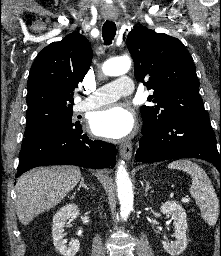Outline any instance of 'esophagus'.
Masks as SVG:
<instances>
[{"instance_id":"1","label":"esophagus","mask_w":221,"mask_h":256,"mask_svg":"<svg viewBox=\"0 0 221 256\" xmlns=\"http://www.w3.org/2000/svg\"><path fill=\"white\" fill-rule=\"evenodd\" d=\"M120 154L122 158L126 160H130L132 157V143L131 142H125L120 144L119 146Z\"/></svg>"}]
</instances>
